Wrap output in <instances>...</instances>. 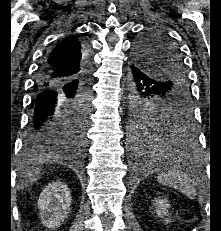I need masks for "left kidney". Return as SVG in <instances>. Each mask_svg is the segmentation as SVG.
Returning <instances> with one entry per match:
<instances>
[{
	"label": "left kidney",
	"instance_id": "left-kidney-1",
	"mask_svg": "<svg viewBox=\"0 0 221 231\" xmlns=\"http://www.w3.org/2000/svg\"><path fill=\"white\" fill-rule=\"evenodd\" d=\"M154 206H155V212L158 218H163L165 219L166 223L170 222L169 218H164V217H169V212L168 210L170 209L171 205L169 204L168 200L166 198H156L154 200Z\"/></svg>",
	"mask_w": 221,
	"mask_h": 231
}]
</instances>
